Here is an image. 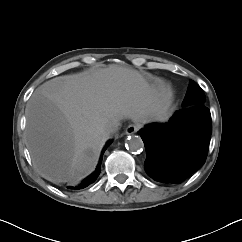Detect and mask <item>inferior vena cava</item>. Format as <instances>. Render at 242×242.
<instances>
[{
  "instance_id": "602c4592",
  "label": "inferior vena cava",
  "mask_w": 242,
  "mask_h": 242,
  "mask_svg": "<svg viewBox=\"0 0 242 242\" xmlns=\"http://www.w3.org/2000/svg\"><path fill=\"white\" fill-rule=\"evenodd\" d=\"M117 127H118V124L115 121L108 123L105 127V131H104L105 135L109 136L111 133L117 130Z\"/></svg>"
}]
</instances>
